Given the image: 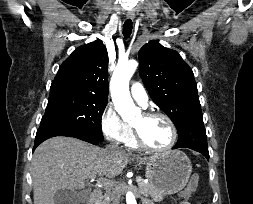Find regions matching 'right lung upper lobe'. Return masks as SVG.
<instances>
[{"instance_id":"1","label":"right lung upper lobe","mask_w":253,"mask_h":204,"mask_svg":"<svg viewBox=\"0 0 253 204\" xmlns=\"http://www.w3.org/2000/svg\"><path fill=\"white\" fill-rule=\"evenodd\" d=\"M108 53L99 40L80 46L59 67L51 87L78 89L108 99Z\"/></svg>"}]
</instances>
